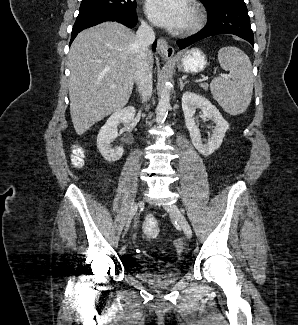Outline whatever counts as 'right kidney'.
Masks as SVG:
<instances>
[{"instance_id": "right-kidney-1", "label": "right kidney", "mask_w": 298, "mask_h": 325, "mask_svg": "<svg viewBox=\"0 0 298 325\" xmlns=\"http://www.w3.org/2000/svg\"><path fill=\"white\" fill-rule=\"evenodd\" d=\"M136 114L135 106H125V108H120L113 112L109 118H107L105 124L101 126L97 134V148L104 156L105 160H109V163H112V160H119L121 158L124 148L123 146H115L113 148L111 142L115 140L118 136V124H129L133 120Z\"/></svg>"}]
</instances>
